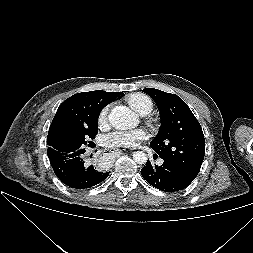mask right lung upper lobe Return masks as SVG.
<instances>
[{"label": "right lung upper lobe", "mask_w": 253, "mask_h": 253, "mask_svg": "<svg viewBox=\"0 0 253 253\" xmlns=\"http://www.w3.org/2000/svg\"><path fill=\"white\" fill-rule=\"evenodd\" d=\"M121 95L122 92L96 90L78 93L67 98L59 106L52 120L47 144L51 146L55 138L66 130L88 126L93 115L100 114L106 105Z\"/></svg>", "instance_id": "right-lung-upper-lobe-1"}]
</instances>
